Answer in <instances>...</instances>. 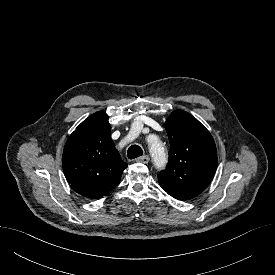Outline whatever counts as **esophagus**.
<instances>
[{"instance_id": "obj_1", "label": "esophagus", "mask_w": 275, "mask_h": 275, "mask_svg": "<svg viewBox=\"0 0 275 275\" xmlns=\"http://www.w3.org/2000/svg\"><path fill=\"white\" fill-rule=\"evenodd\" d=\"M149 160H150V158L147 155L136 158L137 162H140L143 164H147L149 162Z\"/></svg>"}]
</instances>
